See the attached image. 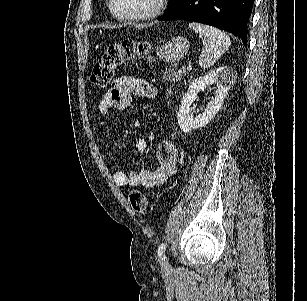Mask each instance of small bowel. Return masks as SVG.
<instances>
[{
  "instance_id": "1",
  "label": "small bowel",
  "mask_w": 307,
  "mask_h": 301,
  "mask_svg": "<svg viewBox=\"0 0 307 301\" xmlns=\"http://www.w3.org/2000/svg\"><path fill=\"white\" fill-rule=\"evenodd\" d=\"M132 95L143 98H154L157 95V89L146 80L132 76H122L114 80L111 88L106 92L99 103V112L107 115L111 109L125 110L132 103ZM109 123L105 118H101L96 123L95 135L98 138L103 137L108 131ZM147 143L144 139H138L135 142V150L139 155L145 153ZM157 156L159 166L154 169L142 171H116L113 174V180L118 186H142L153 188L162 186L175 174L177 169L178 153L176 146L171 141H163L158 147Z\"/></svg>"
}]
</instances>
